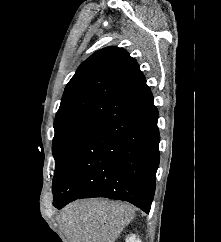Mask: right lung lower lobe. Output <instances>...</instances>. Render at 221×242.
I'll use <instances>...</instances> for the list:
<instances>
[{"mask_svg":"<svg viewBox=\"0 0 221 242\" xmlns=\"http://www.w3.org/2000/svg\"><path fill=\"white\" fill-rule=\"evenodd\" d=\"M158 110L151 91L103 121L70 158L53 188L54 206L91 197L150 211L159 164Z\"/></svg>","mask_w":221,"mask_h":242,"instance_id":"1","label":"right lung lower lobe"}]
</instances>
